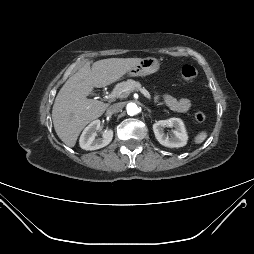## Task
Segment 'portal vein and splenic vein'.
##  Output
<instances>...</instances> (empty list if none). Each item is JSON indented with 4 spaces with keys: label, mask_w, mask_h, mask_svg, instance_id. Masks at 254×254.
I'll return each mask as SVG.
<instances>
[{
    "label": "portal vein and splenic vein",
    "mask_w": 254,
    "mask_h": 254,
    "mask_svg": "<svg viewBox=\"0 0 254 254\" xmlns=\"http://www.w3.org/2000/svg\"><path fill=\"white\" fill-rule=\"evenodd\" d=\"M137 90H139L142 94H144V96L151 100V95L149 94V92L145 89V88H138Z\"/></svg>",
    "instance_id": "18ae733b"
}]
</instances>
